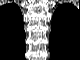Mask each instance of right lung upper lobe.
<instances>
[{
	"mask_svg": "<svg viewBox=\"0 0 80 60\" xmlns=\"http://www.w3.org/2000/svg\"><path fill=\"white\" fill-rule=\"evenodd\" d=\"M23 17L16 4L0 8V51L1 54L21 52L25 48Z\"/></svg>",
	"mask_w": 80,
	"mask_h": 60,
	"instance_id": "right-lung-upper-lobe-1",
	"label": "right lung upper lobe"
}]
</instances>
